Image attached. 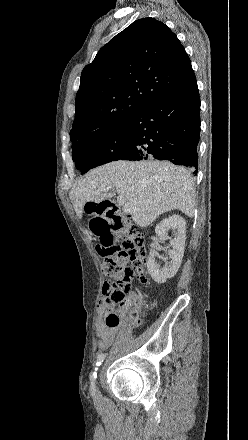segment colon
Instances as JSON below:
<instances>
[{
  "instance_id": "obj_1",
  "label": "colon",
  "mask_w": 248,
  "mask_h": 440,
  "mask_svg": "<svg viewBox=\"0 0 248 440\" xmlns=\"http://www.w3.org/2000/svg\"><path fill=\"white\" fill-rule=\"evenodd\" d=\"M103 213L102 218H111L112 228H115L121 243L102 241L96 248L103 258L104 273L113 278L103 284L102 305L107 308L125 306L130 300L136 302V298L128 297L133 278L138 277L144 282L147 280L143 237L130 223L129 218L117 212L116 207H104ZM132 317L137 322L142 321L135 313ZM105 323L109 327H116L120 323V317L115 312H109L105 317Z\"/></svg>"
}]
</instances>
